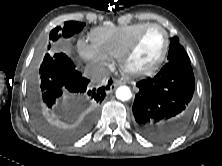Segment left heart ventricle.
Listing matches in <instances>:
<instances>
[{
    "label": "left heart ventricle",
    "mask_w": 222,
    "mask_h": 166,
    "mask_svg": "<svg viewBox=\"0 0 222 166\" xmlns=\"http://www.w3.org/2000/svg\"><path fill=\"white\" fill-rule=\"evenodd\" d=\"M164 33L158 28L149 29L141 38L128 59V66L134 70L146 69L159 58L164 46Z\"/></svg>",
    "instance_id": "1"
}]
</instances>
